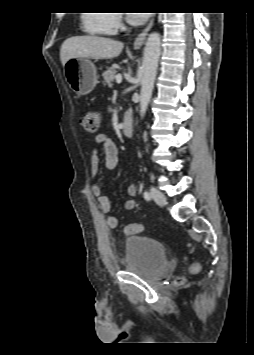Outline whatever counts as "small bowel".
<instances>
[{"instance_id": "1", "label": "small bowel", "mask_w": 254, "mask_h": 355, "mask_svg": "<svg viewBox=\"0 0 254 355\" xmlns=\"http://www.w3.org/2000/svg\"><path fill=\"white\" fill-rule=\"evenodd\" d=\"M95 140L96 143L102 147L104 153V166L106 170H114L119 162V150L116 143L106 133L98 134ZM99 163L100 152L98 148H94L90 156V172L92 176H96L98 174ZM91 192L97 198L101 211L105 214H108L111 210V204L108 197L102 193L101 186L94 184L91 187ZM127 192L131 197L136 196L137 186L134 182L128 186ZM124 206L126 210H133L136 206V203L133 199H129L125 202ZM106 225L110 229H115L118 226V219L114 216H107Z\"/></svg>"}]
</instances>
